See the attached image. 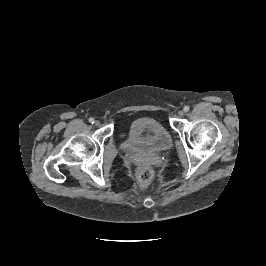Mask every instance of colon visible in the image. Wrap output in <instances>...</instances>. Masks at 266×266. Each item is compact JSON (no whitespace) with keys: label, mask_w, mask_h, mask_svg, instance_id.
<instances>
[{"label":"colon","mask_w":266,"mask_h":266,"mask_svg":"<svg viewBox=\"0 0 266 266\" xmlns=\"http://www.w3.org/2000/svg\"><path fill=\"white\" fill-rule=\"evenodd\" d=\"M152 176V168L147 164H143L137 169L136 179L141 186L147 185L151 181Z\"/></svg>","instance_id":"5ec220e1"}]
</instances>
